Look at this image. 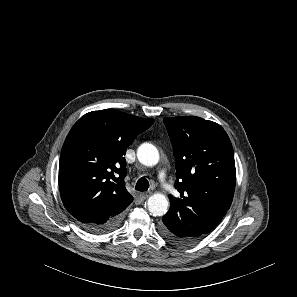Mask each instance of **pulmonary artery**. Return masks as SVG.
Segmentation results:
<instances>
[{"mask_svg":"<svg viewBox=\"0 0 297 297\" xmlns=\"http://www.w3.org/2000/svg\"><path fill=\"white\" fill-rule=\"evenodd\" d=\"M165 178H166V174H165V172H164V171H161V172L159 173V179H160L161 181H164ZM166 188H167L168 192H170V193H174V191H175V188H174V186H172V185H167Z\"/></svg>","mask_w":297,"mask_h":297,"instance_id":"1","label":"pulmonary artery"}]
</instances>
